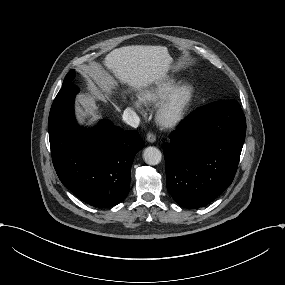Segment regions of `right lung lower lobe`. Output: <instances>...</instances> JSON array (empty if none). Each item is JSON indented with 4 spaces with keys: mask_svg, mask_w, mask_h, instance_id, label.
<instances>
[{
    "mask_svg": "<svg viewBox=\"0 0 285 285\" xmlns=\"http://www.w3.org/2000/svg\"><path fill=\"white\" fill-rule=\"evenodd\" d=\"M78 88H61L52 104L49 140L56 173L65 187L92 206L120 203L130 188L134 157L143 147L136 130L124 131L102 120L94 129L79 127L74 117Z\"/></svg>",
    "mask_w": 285,
    "mask_h": 285,
    "instance_id": "obj_1",
    "label": "right lung lower lobe"
}]
</instances>
